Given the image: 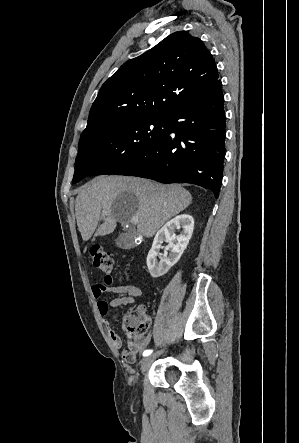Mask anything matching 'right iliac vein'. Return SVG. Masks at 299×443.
<instances>
[{"label": "right iliac vein", "mask_w": 299, "mask_h": 443, "mask_svg": "<svg viewBox=\"0 0 299 443\" xmlns=\"http://www.w3.org/2000/svg\"><path fill=\"white\" fill-rule=\"evenodd\" d=\"M154 356L152 357H145L141 360V370L144 372L149 365L151 364V362L153 361Z\"/></svg>", "instance_id": "right-iliac-vein-1"}]
</instances>
